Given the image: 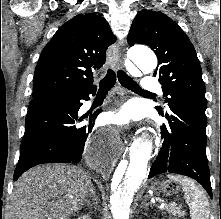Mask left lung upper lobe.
Masks as SVG:
<instances>
[{
	"label": "left lung upper lobe",
	"mask_w": 221,
	"mask_h": 219,
	"mask_svg": "<svg viewBox=\"0 0 221 219\" xmlns=\"http://www.w3.org/2000/svg\"><path fill=\"white\" fill-rule=\"evenodd\" d=\"M128 43L145 44L154 50L159 78L169 108L180 105L203 114L207 107L205 85L196 51L176 22L161 12L143 10L135 17ZM163 114L161 108H157Z\"/></svg>",
	"instance_id": "left-lung-upper-lobe-1"
}]
</instances>
